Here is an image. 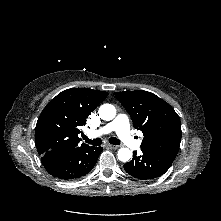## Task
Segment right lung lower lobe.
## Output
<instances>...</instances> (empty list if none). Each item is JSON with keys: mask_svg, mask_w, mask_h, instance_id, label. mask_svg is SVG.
<instances>
[{"mask_svg": "<svg viewBox=\"0 0 221 221\" xmlns=\"http://www.w3.org/2000/svg\"><path fill=\"white\" fill-rule=\"evenodd\" d=\"M102 147L80 146L61 150L50 157L41 158L47 172L63 180H73L86 175L96 164Z\"/></svg>", "mask_w": 221, "mask_h": 221, "instance_id": "right-lung-lower-lobe-1", "label": "right lung lower lobe"}]
</instances>
